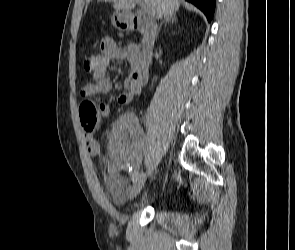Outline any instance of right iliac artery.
Returning a JSON list of instances; mask_svg holds the SVG:
<instances>
[{"instance_id":"right-iliac-artery-1","label":"right iliac artery","mask_w":295,"mask_h":250,"mask_svg":"<svg viewBox=\"0 0 295 250\" xmlns=\"http://www.w3.org/2000/svg\"><path fill=\"white\" fill-rule=\"evenodd\" d=\"M141 175L142 173H140L139 171H136L132 177V182L136 183L140 179Z\"/></svg>"}]
</instances>
